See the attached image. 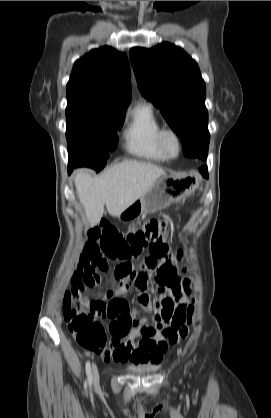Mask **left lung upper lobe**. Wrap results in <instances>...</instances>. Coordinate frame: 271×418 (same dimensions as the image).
I'll return each mask as SVG.
<instances>
[{
  "mask_svg": "<svg viewBox=\"0 0 271 418\" xmlns=\"http://www.w3.org/2000/svg\"><path fill=\"white\" fill-rule=\"evenodd\" d=\"M130 59L141 94L160 108L180 137L184 155L206 160L210 140L206 86L197 63L166 42L152 49L132 48Z\"/></svg>",
  "mask_w": 271,
  "mask_h": 418,
  "instance_id": "5c2ea615",
  "label": "left lung upper lobe"
}]
</instances>
